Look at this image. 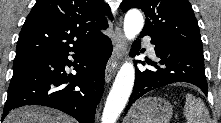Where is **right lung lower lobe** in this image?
Here are the masks:
<instances>
[{
	"label": "right lung lower lobe",
	"mask_w": 221,
	"mask_h": 123,
	"mask_svg": "<svg viewBox=\"0 0 221 123\" xmlns=\"http://www.w3.org/2000/svg\"><path fill=\"white\" fill-rule=\"evenodd\" d=\"M70 51L76 52L79 62L74 65L76 75L65 72V66L72 65L68 60ZM111 53V40L103 35L71 50L38 54L14 62L4 112L23 105H42L61 110L81 123H94Z\"/></svg>",
	"instance_id": "98d812e1"
}]
</instances>
